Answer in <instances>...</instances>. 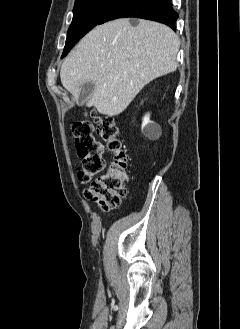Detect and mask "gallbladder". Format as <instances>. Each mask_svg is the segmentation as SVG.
Returning a JSON list of instances; mask_svg holds the SVG:
<instances>
[{
	"instance_id": "1",
	"label": "gallbladder",
	"mask_w": 240,
	"mask_h": 329,
	"mask_svg": "<svg viewBox=\"0 0 240 329\" xmlns=\"http://www.w3.org/2000/svg\"><path fill=\"white\" fill-rule=\"evenodd\" d=\"M94 90H95V85L93 82L89 81L81 85V91L78 100L79 105H82L85 102H87L88 99L92 96Z\"/></svg>"
}]
</instances>
